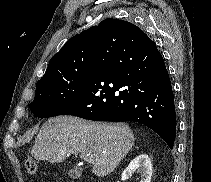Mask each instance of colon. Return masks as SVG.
Wrapping results in <instances>:
<instances>
[{"instance_id":"1","label":"colon","mask_w":211,"mask_h":182,"mask_svg":"<svg viewBox=\"0 0 211 182\" xmlns=\"http://www.w3.org/2000/svg\"><path fill=\"white\" fill-rule=\"evenodd\" d=\"M26 168L27 171L31 174H35L38 170V166L36 161L33 158H27L26 159Z\"/></svg>"}]
</instances>
